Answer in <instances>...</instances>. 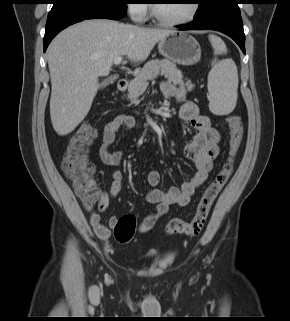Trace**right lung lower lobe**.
I'll use <instances>...</instances> for the list:
<instances>
[{
	"label": "right lung lower lobe",
	"mask_w": 290,
	"mask_h": 321,
	"mask_svg": "<svg viewBox=\"0 0 290 321\" xmlns=\"http://www.w3.org/2000/svg\"><path fill=\"white\" fill-rule=\"evenodd\" d=\"M126 10L85 11L75 9L51 10L49 12L44 36V51L51 40L66 27L85 19H113L118 20L125 16Z\"/></svg>",
	"instance_id": "98d812e1"
}]
</instances>
